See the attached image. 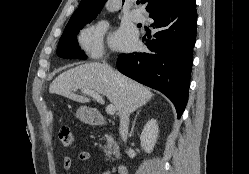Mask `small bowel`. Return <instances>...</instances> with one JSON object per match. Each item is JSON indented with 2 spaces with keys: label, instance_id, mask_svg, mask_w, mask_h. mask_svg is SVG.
Returning <instances> with one entry per match:
<instances>
[{
  "label": "small bowel",
  "instance_id": "c3829d8e",
  "mask_svg": "<svg viewBox=\"0 0 249 174\" xmlns=\"http://www.w3.org/2000/svg\"><path fill=\"white\" fill-rule=\"evenodd\" d=\"M78 159L80 161H88L90 159V154L86 151L79 152ZM72 157L71 156H64L63 158V170L64 173H69L72 167ZM102 174H110L108 170L102 172Z\"/></svg>",
  "mask_w": 249,
  "mask_h": 174
}]
</instances>
